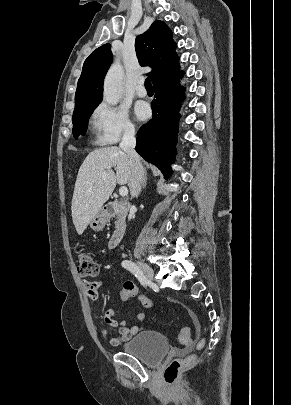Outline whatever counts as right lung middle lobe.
<instances>
[{
  "instance_id": "dd1d6c3e",
  "label": "right lung middle lobe",
  "mask_w": 291,
  "mask_h": 405,
  "mask_svg": "<svg viewBox=\"0 0 291 405\" xmlns=\"http://www.w3.org/2000/svg\"><path fill=\"white\" fill-rule=\"evenodd\" d=\"M96 107L97 106L89 107L84 110L73 113L72 117L73 135L76 139L80 134L82 135L85 134L88 126L89 117L91 116Z\"/></svg>"
}]
</instances>
